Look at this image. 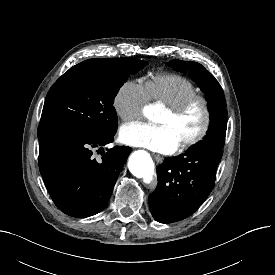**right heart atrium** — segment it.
I'll return each mask as SVG.
<instances>
[{
	"label": "right heart atrium",
	"mask_w": 275,
	"mask_h": 275,
	"mask_svg": "<svg viewBox=\"0 0 275 275\" xmlns=\"http://www.w3.org/2000/svg\"><path fill=\"white\" fill-rule=\"evenodd\" d=\"M148 101L145 85L137 80H127L117 89L112 105L117 116L124 122H129L142 116Z\"/></svg>",
	"instance_id": "right-heart-atrium-1"
}]
</instances>
